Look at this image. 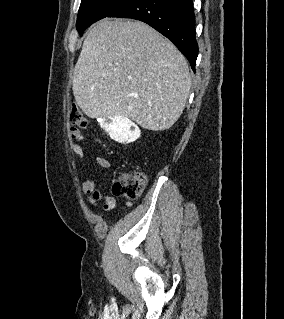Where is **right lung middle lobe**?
Returning <instances> with one entry per match:
<instances>
[{
	"mask_svg": "<svg viewBox=\"0 0 284 319\" xmlns=\"http://www.w3.org/2000/svg\"><path fill=\"white\" fill-rule=\"evenodd\" d=\"M130 0H82L79 8L76 28L80 35L94 22L108 17L112 12Z\"/></svg>",
	"mask_w": 284,
	"mask_h": 319,
	"instance_id": "right-lung-middle-lobe-1",
	"label": "right lung middle lobe"
}]
</instances>
